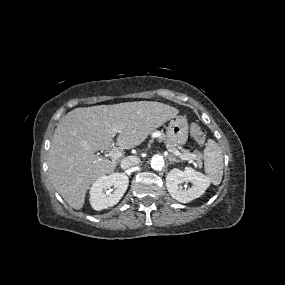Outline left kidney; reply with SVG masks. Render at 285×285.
<instances>
[{"label": "left kidney", "mask_w": 285, "mask_h": 285, "mask_svg": "<svg viewBox=\"0 0 285 285\" xmlns=\"http://www.w3.org/2000/svg\"><path fill=\"white\" fill-rule=\"evenodd\" d=\"M191 182L192 186L183 190L182 183ZM210 181L203 174L186 167L184 171L174 168L166 177V187L172 198L182 203H188L200 197L209 187Z\"/></svg>", "instance_id": "1"}]
</instances>
